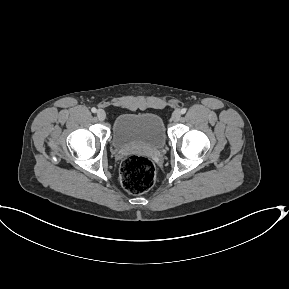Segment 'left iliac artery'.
Returning <instances> with one entry per match:
<instances>
[{"label": "left iliac artery", "mask_w": 289, "mask_h": 289, "mask_svg": "<svg viewBox=\"0 0 289 289\" xmlns=\"http://www.w3.org/2000/svg\"><path fill=\"white\" fill-rule=\"evenodd\" d=\"M186 111H187V109H186V108H182V109H181V113H182V114H185V113H186Z\"/></svg>", "instance_id": "1"}]
</instances>
